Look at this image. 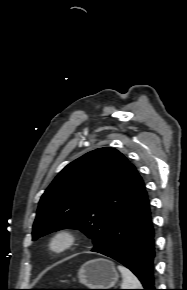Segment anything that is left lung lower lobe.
Segmentation results:
<instances>
[{
  "label": "left lung lower lobe",
  "mask_w": 187,
  "mask_h": 290,
  "mask_svg": "<svg viewBox=\"0 0 187 290\" xmlns=\"http://www.w3.org/2000/svg\"><path fill=\"white\" fill-rule=\"evenodd\" d=\"M154 228L143 183L128 199L105 241L93 252L111 257L130 269L144 290H156Z\"/></svg>",
  "instance_id": "obj_1"
}]
</instances>
